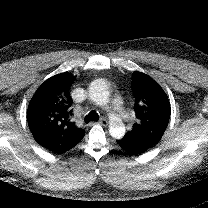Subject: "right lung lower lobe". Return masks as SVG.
I'll return each mask as SVG.
<instances>
[{"label":"right lung lower lobe","instance_id":"obj_1","mask_svg":"<svg viewBox=\"0 0 208 208\" xmlns=\"http://www.w3.org/2000/svg\"><path fill=\"white\" fill-rule=\"evenodd\" d=\"M80 141H81V140H80ZM80 141L76 142L75 144H73V145L70 146V147H67V148H65V149H62V150H60V151H58V152H55V153H58V154L64 153V152H66V151L72 149L74 146H76Z\"/></svg>","mask_w":208,"mask_h":208}]
</instances>
